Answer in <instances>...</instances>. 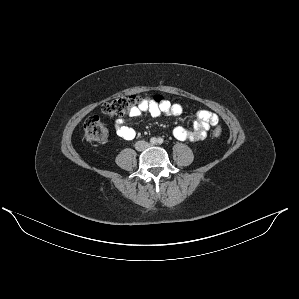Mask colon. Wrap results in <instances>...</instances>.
I'll use <instances>...</instances> for the list:
<instances>
[{
    "instance_id": "obj_1",
    "label": "colon",
    "mask_w": 299,
    "mask_h": 299,
    "mask_svg": "<svg viewBox=\"0 0 299 299\" xmlns=\"http://www.w3.org/2000/svg\"><path fill=\"white\" fill-rule=\"evenodd\" d=\"M155 101H159L155 98ZM147 99L140 96H128L116 98L102 105L101 111L108 117H118L131 112L134 108L140 107L147 103ZM213 134L216 137L221 136L222 131L219 127H215ZM108 129L106 125L96 116L89 117L84 124L83 139L86 142H99L106 139Z\"/></svg>"
}]
</instances>
